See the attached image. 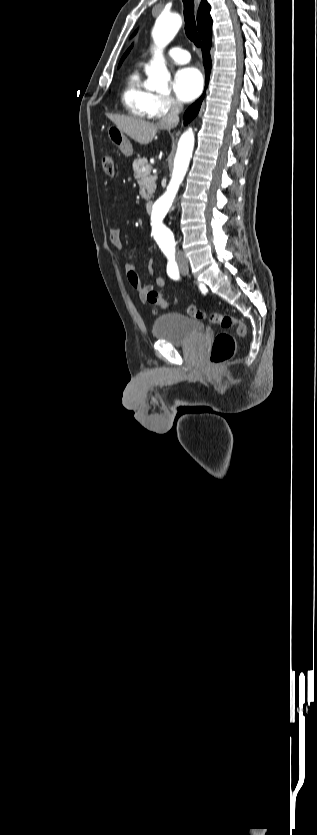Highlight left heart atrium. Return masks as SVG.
<instances>
[{"instance_id": "1", "label": "left heart atrium", "mask_w": 317, "mask_h": 835, "mask_svg": "<svg viewBox=\"0 0 317 835\" xmlns=\"http://www.w3.org/2000/svg\"><path fill=\"white\" fill-rule=\"evenodd\" d=\"M202 87V75L194 67L181 68L174 76L173 88L181 101L189 102L195 99L201 93Z\"/></svg>"}]
</instances>
